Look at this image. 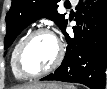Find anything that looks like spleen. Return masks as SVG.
<instances>
[{
  "label": "spleen",
  "mask_w": 107,
  "mask_h": 89,
  "mask_svg": "<svg viewBox=\"0 0 107 89\" xmlns=\"http://www.w3.org/2000/svg\"><path fill=\"white\" fill-rule=\"evenodd\" d=\"M65 88L66 89H76V87L74 85H66Z\"/></svg>",
  "instance_id": "1"
}]
</instances>
